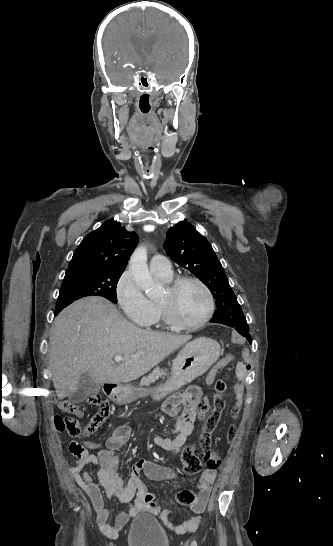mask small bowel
<instances>
[{
	"label": "small bowel",
	"mask_w": 333,
	"mask_h": 546,
	"mask_svg": "<svg viewBox=\"0 0 333 546\" xmlns=\"http://www.w3.org/2000/svg\"><path fill=\"white\" fill-rule=\"evenodd\" d=\"M231 338L233 340L232 344L237 348L244 346V339L240 332H233ZM242 353L244 354L242 359L248 361L250 359L248 355L249 348L243 347ZM235 356V353L229 350L222 358H218L217 361L212 362L209 368L210 376L208 378L210 380L205 382L207 387L213 385L212 381L216 378L213 374L226 372L228 366L233 363ZM200 398L201 390L197 386H191L172 395L164 402V410L169 415H176L180 405L184 407L174 426V431L177 433L176 437L170 439L155 436L153 442L157 446L173 455L181 452L193 431L196 404ZM129 436L130 430L125 426H120L107 438L104 448H102L101 443L93 441L78 442L73 440L68 444L70 454L75 457V461L70 467V473L76 483L89 497L100 531L106 537L114 538L131 517L141 512L152 513L165 528L176 534L195 531L201 524L202 513L208 504L216 472L205 469L201 473L198 485V499L192 505L194 515L175 523L169 519V514L174 511L173 508H159L141 476L144 473L149 478L155 480L171 479L175 477V474L170 468L140 459L133 465L127 479L121 476L119 461L114 452L128 440ZM92 450H97V453H91ZM211 458L216 459L217 453L213 452ZM94 466L99 467L98 478L107 498L127 506L117 513L112 524L109 523L110 514L105 507L101 490L94 482L90 472Z\"/></svg>",
	"instance_id": "1"
}]
</instances>
